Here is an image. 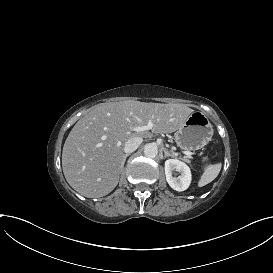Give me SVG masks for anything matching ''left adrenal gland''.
Returning <instances> with one entry per match:
<instances>
[{
  "label": "left adrenal gland",
  "instance_id": "1",
  "mask_svg": "<svg viewBox=\"0 0 273 273\" xmlns=\"http://www.w3.org/2000/svg\"><path fill=\"white\" fill-rule=\"evenodd\" d=\"M163 151H164V158H167V157H172V158H176V156L172 153H170L167 148H163Z\"/></svg>",
  "mask_w": 273,
  "mask_h": 273
}]
</instances>
